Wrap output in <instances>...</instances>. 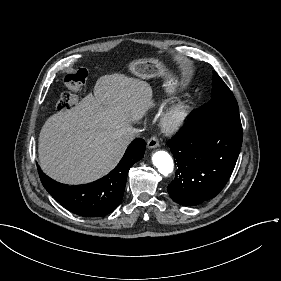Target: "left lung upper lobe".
<instances>
[{
	"mask_svg": "<svg viewBox=\"0 0 281 281\" xmlns=\"http://www.w3.org/2000/svg\"><path fill=\"white\" fill-rule=\"evenodd\" d=\"M201 113L213 111H235L238 112V104L231 90L223 80L213 72V89L211 100L199 108Z\"/></svg>",
	"mask_w": 281,
	"mask_h": 281,
	"instance_id": "left-lung-upper-lobe-1",
	"label": "left lung upper lobe"
}]
</instances>
